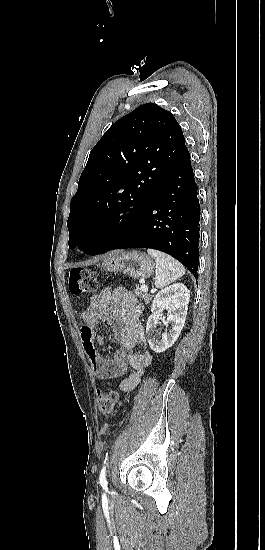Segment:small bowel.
I'll return each instance as SVG.
<instances>
[{
  "instance_id": "1",
  "label": "small bowel",
  "mask_w": 265,
  "mask_h": 550,
  "mask_svg": "<svg viewBox=\"0 0 265 550\" xmlns=\"http://www.w3.org/2000/svg\"><path fill=\"white\" fill-rule=\"evenodd\" d=\"M142 307L135 295L122 288H106L98 296L91 298L81 317L85 326L81 339L85 354L94 375L104 381L123 376L128 367L133 372L123 378L118 388L123 392L133 390L141 380L145 369L152 362L149 351L135 353L136 346H145V330L140 323ZM104 320L110 326L119 348L110 358L103 357L96 346L105 344V337L98 332V323Z\"/></svg>"
}]
</instances>
